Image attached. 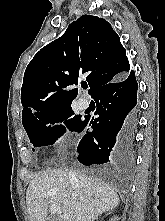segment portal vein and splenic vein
Returning a JSON list of instances; mask_svg holds the SVG:
<instances>
[{
	"instance_id": "portal-vein-and-splenic-vein-1",
	"label": "portal vein and splenic vein",
	"mask_w": 165,
	"mask_h": 221,
	"mask_svg": "<svg viewBox=\"0 0 165 221\" xmlns=\"http://www.w3.org/2000/svg\"><path fill=\"white\" fill-rule=\"evenodd\" d=\"M50 212L53 215H58L60 216V218L64 219L65 221H67L69 219V217L67 216V214H63L61 209L56 206V205H51L50 206Z\"/></svg>"
}]
</instances>
